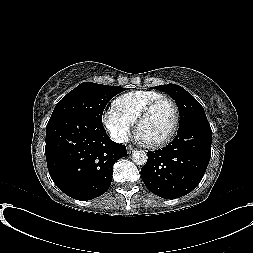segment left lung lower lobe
I'll return each mask as SVG.
<instances>
[{"instance_id": "left-lung-lower-lobe-1", "label": "left lung lower lobe", "mask_w": 253, "mask_h": 253, "mask_svg": "<svg viewBox=\"0 0 253 253\" xmlns=\"http://www.w3.org/2000/svg\"><path fill=\"white\" fill-rule=\"evenodd\" d=\"M212 130L207 119L179 126L176 137L161 150L149 151L141 169L145 186L165 198H179L202 180L211 155Z\"/></svg>"}]
</instances>
